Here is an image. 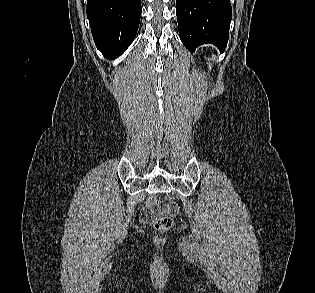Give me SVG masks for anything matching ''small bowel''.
Listing matches in <instances>:
<instances>
[{
	"label": "small bowel",
	"mask_w": 315,
	"mask_h": 293,
	"mask_svg": "<svg viewBox=\"0 0 315 293\" xmlns=\"http://www.w3.org/2000/svg\"><path fill=\"white\" fill-rule=\"evenodd\" d=\"M141 221L150 222L152 220V211L146 210L140 216Z\"/></svg>",
	"instance_id": "small-bowel-1"
}]
</instances>
